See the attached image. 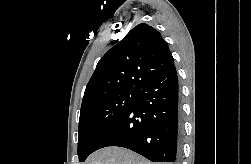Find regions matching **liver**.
Listing matches in <instances>:
<instances>
[{
  "mask_svg": "<svg viewBox=\"0 0 251 164\" xmlns=\"http://www.w3.org/2000/svg\"><path fill=\"white\" fill-rule=\"evenodd\" d=\"M84 164H151L144 157L122 147H106L91 154Z\"/></svg>",
  "mask_w": 251,
  "mask_h": 164,
  "instance_id": "6515ba94",
  "label": "liver"
}]
</instances>
